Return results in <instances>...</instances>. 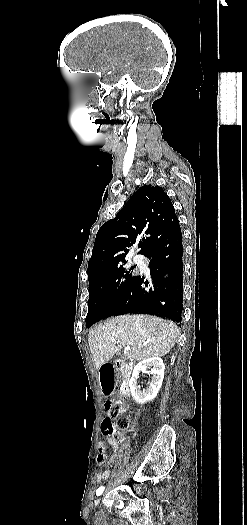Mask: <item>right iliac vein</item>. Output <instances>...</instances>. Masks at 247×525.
I'll list each match as a JSON object with an SVG mask.
<instances>
[{"label":"right iliac vein","instance_id":"obj_1","mask_svg":"<svg viewBox=\"0 0 247 525\" xmlns=\"http://www.w3.org/2000/svg\"><path fill=\"white\" fill-rule=\"evenodd\" d=\"M99 501H100V498H97V499L95 500V505H98Z\"/></svg>","mask_w":247,"mask_h":525}]
</instances>
